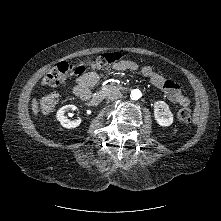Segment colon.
Masks as SVG:
<instances>
[{"label":"colon","mask_w":221,"mask_h":221,"mask_svg":"<svg viewBox=\"0 0 221 221\" xmlns=\"http://www.w3.org/2000/svg\"><path fill=\"white\" fill-rule=\"evenodd\" d=\"M128 60L121 61L118 53H103L95 61L88 63L71 64L65 61L47 71L43 78L44 84L50 87L59 86L68 76L73 74H83L87 69L107 68L115 63H129ZM58 101V94L51 92L43 97L40 109L42 113L48 114L55 107ZM177 117L180 121L189 122L191 120V110L188 106H183L178 112Z\"/></svg>","instance_id":"1"}]
</instances>
